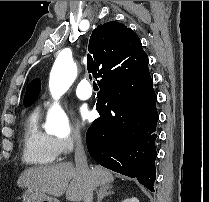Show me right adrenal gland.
Instances as JSON below:
<instances>
[{
  "label": "right adrenal gland",
  "mask_w": 209,
  "mask_h": 202,
  "mask_svg": "<svg viewBox=\"0 0 209 202\" xmlns=\"http://www.w3.org/2000/svg\"><path fill=\"white\" fill-rule=\"evenodd\" d=\"M112 187H101L97 191V202H101L106 196L112 195L114 192L111 191Z\"/></svg>",
  "instance_id": "obj_1"
}]
</instances>
